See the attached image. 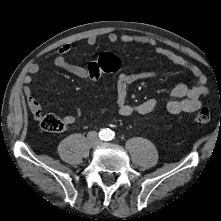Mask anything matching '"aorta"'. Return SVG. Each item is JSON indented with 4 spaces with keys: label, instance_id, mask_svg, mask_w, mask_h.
<instances>
[{
    "label": "aorta",
    "instance_id": "obj_1",
    "mask_svg": "<svg viewBox=\"0 0 221 221\" xmlns=\"http://www.w3.org/2000/svg\"><path fill=\"white\" fill-rule=\"evenodd\" d=\"M104 134H105V137L108 138V137H110L111 131L108 129L104 130Z\"/></svg>",
    "mask_w": 221,
    "mask_h": 221
}]
</instances>
